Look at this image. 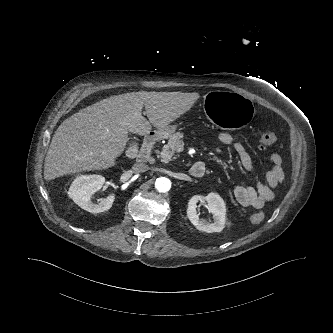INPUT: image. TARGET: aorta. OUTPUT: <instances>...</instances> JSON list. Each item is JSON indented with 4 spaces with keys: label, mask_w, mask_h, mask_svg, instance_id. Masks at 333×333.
Listing matches in <instances>:
<instances>
[{
    "label": "aorta",
    "mask_w": 333,
    "mask_h": 333,
    "mask_svg": "<svg viewBox=\"0 0 333 333\" xmlns=\"http://www.w3.org/2000/svg\"><path fill=\"white\" fill-rule=\"evenodd\" d=\"M155 188L161 192H168L171 188V181L166 177H160L155 182Z\"/></svg>",
    "instance_id": "aorta-1"
}]
</instances>
